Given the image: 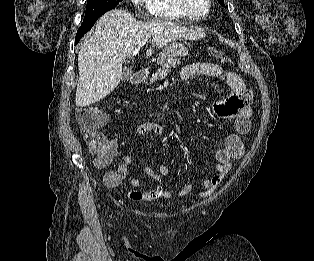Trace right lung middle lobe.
<instances>
[{
    "label": "right lung middle lobe",
    "instance_id": "1",
    "mask_svg": "<svg viewBox=\"0 0 314 261\" xmlns=\"http://www.w3.org/2000/svg\"><path fill=\"white\" fill-rule=\"evenodd\" d=\"M122 0H87L85 17L82 25H87L97 20L105 12L115 8Z\"/></svg>",
    "mask_w": 314,
    "mask_h": 261
}]
</instances>
